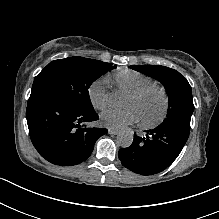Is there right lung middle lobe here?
<instances>
[{
	"label": "right lung middle lobe",
	"mask_w": 219,
	"mask_h": 219,
	"mask_svg": "<svg viewBox=\"0 0 219 219\" xmlns=\"http://www.w3.org/2000/svg\"><path fill=\"white\" fill-rule=\"evenodd\" d=\"M114 68L111 63L79 56L55 60L35 77L31 95L55 96L77 109L91 110L90 85Z\"/></svg>",
	"instance_id": "obj_1"
}]
</instances>
